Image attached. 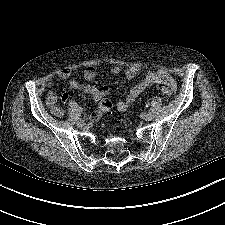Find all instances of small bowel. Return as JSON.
I'll list each match as a JSON object with an SVG mask.
<instances>
[{
    "mask_svg": "<svg viewBox=\"0 0 225 225\" xmlns=\"http://www.w3.org/2000/svg\"><path fill=\"white\" fill-rule=\"evenodd\" d=\"M110 71L112 74H118L121 69L119 67H112ZM139 73V67H129L125 70V76L129 80L134 79ZM71 74L72 72L69 68H62L58 72L56 80H69V86L72 89L87 93L91 95L95 101L100 102L98 110L95 111L91 116L94 121L99 120L104 113L109 111L112 105L108 99H105L108 94V87L106 85L97 86L94 84L83 85L76 78H71ZM97 74V70L94 67H89L84 71L83 77L84 79L91 81L97 77ZM53 84L54 80L52 79L47 82V86L50 88V90L46 97V105L50 108L51 112L55 116H62L63 109L57 105L58 96L56 91L53 89ZM155 84L166 85L173 90H175L177 86L175 79L168 72L163 70L149 72L144 79L132 86L129 93L123 100L117 103V110L121 112L126 111L144 90ZM61 100L66 102L68 100V94L63 93ZM105 100L108 101V106L104 105Z\"/></svg>",
    "mask_w": 225,
    "mask_h": 225,
    "instance_id": "obj_1",
    "label": "small bowel"
}]
</instances>
